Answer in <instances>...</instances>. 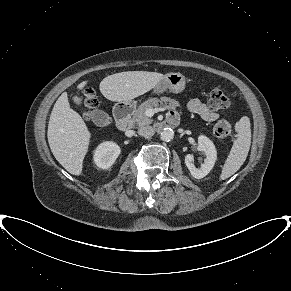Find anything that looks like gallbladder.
<instances>
[{
  "label": "gallbladder",
  "mask_w": 291,
  "mask_h": 291,
  "mask_svg": "<svg viewBox=\"0 0 291 291\" xmlns=\"http://www.w3.org/2000/svg\"><path fill=\"white\" fill-rule=\"evenodd\" d=\"M72 100L76 105H80L82 102V98L79 96H74ZM88 115L92 122L97 126H105L111 121L109 115L101 109H93L88 112Z\"/></svg>",
  "instance_id": "bac80fb5"
}]
</instances>
